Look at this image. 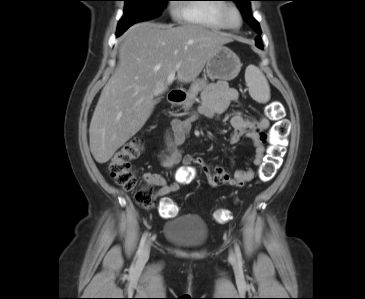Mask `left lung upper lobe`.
Returning <instances> with one entry per match:
<instances>
[{
	"mask_svg": "<svg viewBox=\"0 0 365 299\" xmlns=\"http://www.w3.org/2000/svg\"><path fill=\"white\" fill-rule=\"evenodd\" d=\"M237 3L239 10L241 11L244 19L249 25L258 33L261 34V29L258 22L251 16L249 1L252 0H232Z\"/></svg>",
	"mask_w": 365,
	"mask_h": 299,
	"instance_id": "1",
	"label": "left lung upper lobe"
}]
</instances>
